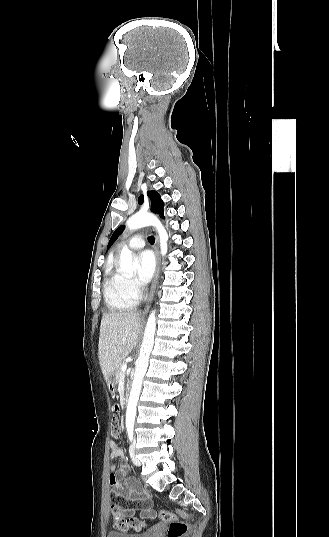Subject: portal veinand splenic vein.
I'll return each instance as SVG.
<instances>
[{"label":"portal vein and splenic vein","instance_id":"portal-vein-and-splenic-vein-1","mask_svg":"<svg viewBox=\"0 0 329 537\" xmlns=\"http://www.w3.org/2000/svg\"><path fill=\"white\" fill-rule=\"evenodd\" d=\"M126 369H127V365H126V364H123L122 367H121L122 372H125Z\"/></svg>","mask_w":329,"mask_h":537}]
</instances>
